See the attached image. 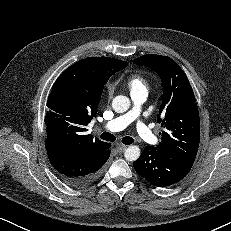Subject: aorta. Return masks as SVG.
Segmentation results:
<instances>
[{
	"mask_svg": "<svg viewBox=\"0 0 231 231\" xmlns=\"http://www.w3.org/2000/svg\"><path fill=\"white\" fill-rule=\"evenodd\" d=\"M130 99L124 95L116 96L112 101V108L116 113H124L130 107ZM127 161H136L140 157V148L137 145H130L124 153Z\"/></svg>",
	"mask_w": 231,
	"mask_h": 231,
	"instance_id": "aorta-1",
	"label": "aorta"
}]
</instances>
